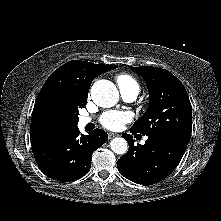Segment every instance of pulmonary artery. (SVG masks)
Listing matches in <instances>:
<instances>
[{
	"label": "pulmonary artery",
	"instance_id": "pulmonary-artery-1",
	"mask_svg": "<svg viewBox=\"0 0 221 221\" xmlns=\"http://www.w3.org/2000/svg\"><path fill=\"white\" fill-rule=\"evenodd\" d=\"M122 97L127 100V101H133L136 99L137 95H138V91L135 89H123L120 88ZM89 122H91V119L88 117H81L79 120V124L81 126H85L86 124H88ZM146 140V138L144 139Z\"/></svg>",
	"mask_w": 221,
	"mask_h": 221
}]
</instances>
